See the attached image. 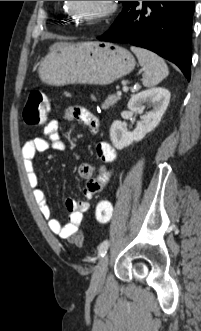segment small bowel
<instances>
[{
  "label": "small bowel",
  "mask_w": 201,
  "mask_h": 331,
  "mask_svg": "<svg viewBox=\"0 0 201 331\" xmlns=\"http://www.w3.org/2000/svg\"><path fill=\"white\" fill-rule=\"evenodd\" d=\"M62 116L67 122L78 121L82 123L91 134H96L99 131L100 124L97 117L81 106L66 107ZM59 124L58 119L50 118L44 126V136L26 141L21 152L28 184L43 218L48 223L49 229L60 238L75 244L78 240H83L80 226L84 213L89 209V203L75 198H67L65 206L69 212V220L63 225L59 220L52 217L46 195L39 187V178L34 164V158L38 153L50 149L59 151L65 149V142L59 134ZM96 154L102 162L96 171L87 163L81 164L78 169L79 176L85 181L83 196L86 200L92 199L101 192L103 185L113 175L114 170L111 165L117 159L116 150L107 142H99L96 145Z\"/></svg>",
  "instance_id": "1"
}]
</instances>
